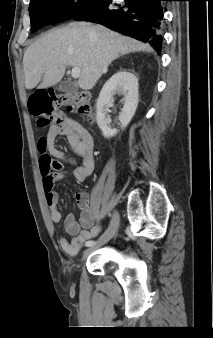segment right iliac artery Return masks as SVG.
Here are the masks:
<instances>
[{
	"mask_svg": "<svg viewBox=\"0 0 213 338\" xmlns=\"http://www.w3.org/2000/svg\"><path fill=\"white\" fill-rule=\"evenodd\" d=\"M95 244H96V242H95V241H93V240H89V241H87V242H86V244H85V245H86L87 247H90V246H93V245H95Z\"/></svg>",
	"mask_w": 213,
	"mask_h": 338,
	"instance_id": "82829eb1",
	"label": "right iliac artery"
}]
</instances>
